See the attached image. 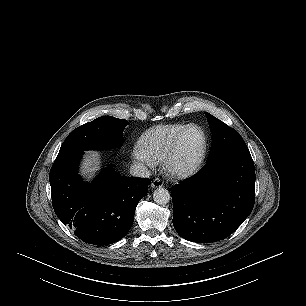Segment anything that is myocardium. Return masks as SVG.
<instances>
[{"label": "myocardium", "mask_w": 306, "mask_h": 306, "mask_svg": "<svg viewBox=\"0 0 306 306\" xmlns=\"http://www.w3.org/2000/svg\"><path fill=\"white\" fill-rule=\"evenodd\" d=\"M192 129H196L200 131L203 137V145H202L201 152L195 159H193L190 162L184 163L181 160L182 143H183V140L186 134ZM207 150H208V136L205 130L197 124L187 125L176 138L170 154L165 159L164 167H165L166 173L173 178H186V177L193 175L201 167L206 157Z\"/></svg>", "instance_id": "f54148a6"}]
</instances>
